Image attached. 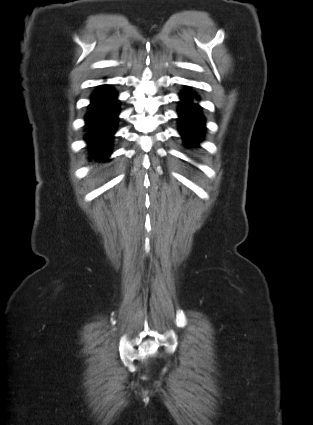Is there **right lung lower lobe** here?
<instances>
[{
  "label": "right lung lower lobe",
  "mask_w": 313,
  "mask_h": 425,
  "mask_svg": "<svg viewBox=\"0 0 313 425\" xmlns=\"http://www.w3.org/2000/svg\"><path fill=\"white\" fill-rule=\"evenodd\" d=\"M119 114L117 94L107 85L100 86L91 96L89 111L86 115L88 145L99 161L110 154V144L115 132Z\"/></svg>",
  "instance_id": "right-lung-lower-lobe-1"
}]
</instances>
